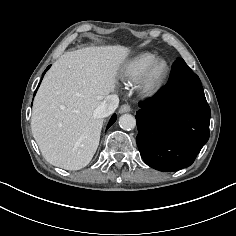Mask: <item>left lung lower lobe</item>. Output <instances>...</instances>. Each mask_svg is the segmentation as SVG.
<instances>
[{"label": "left lung lower lobe", "mask_w": 236, "mask_h": 236, "mask_svg": "<svg viewBox=\"0 0 236 236\" xmlns=\"http://www.w3.org/2000/svg\"><path fill=\"white\" fill-rule=\"evenodd\" d=\"M139 107L136 141L145 163L165 172L190 166L209 139L211 111L183 59L174 62L169 83Z\"/></svg>", "instance_id": "0a47b994"}]
</instances>
